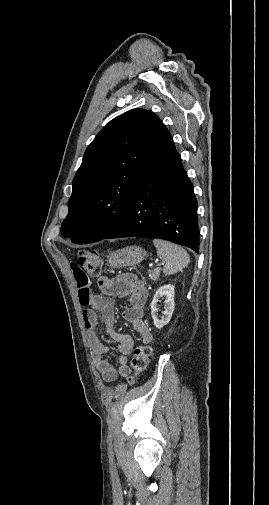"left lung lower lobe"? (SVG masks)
I'll use <instances>...</instances> for the list:
<instances>
[{
	"instance_id": "1",
	"label": "left lung lower lobe",
	"mask_w": 269,
	"mask_h": 505,
	"mask_svg": "<svg viewBox=\"0 0 269 505\" xmlns=\"http://www.w3.org/2000/svg\"><path fill=\"white\" fill-rule=\"evenodd\" d=\"M165 239L199 252L197 200L179 153L162 125L117 226L103 239Z\"/></svg>"
}]
</instances>
